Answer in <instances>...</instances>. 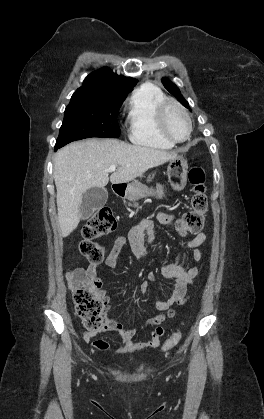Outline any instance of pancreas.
I'll return each instance as SVG.
<instances>
[{"mask_svg": "<svg viewBox=\"0 0 264 419\" xmlns=\"http://www.w3.org/2000/svg\"><path fill=\"white\" fill-rule=\"evenodd\" d=\"M154 176H152V177H148V182H150L151 180H152V178H153ZM135 205H137V204H135Z\"/></svg>", "mask_w": 264, "mask_h": 419, "instance_id": "obj_1", "label": "pancreas"}]
</instances>
